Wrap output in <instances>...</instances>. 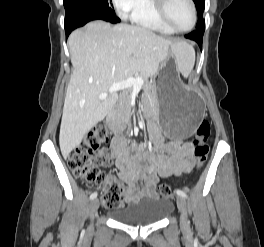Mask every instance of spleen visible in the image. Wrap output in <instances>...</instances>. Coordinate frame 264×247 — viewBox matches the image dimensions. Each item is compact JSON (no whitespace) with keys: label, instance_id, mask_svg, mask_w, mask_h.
Wrapping results in <instances>:
<instances>
[{"label":"spleen","instance_id":"3e777b00","mask_svg":"<svg viewBox=\"0 0 264 247\" xmlns=\"http://www.w3.org/2000/svg\"><path fill=\"white\" fill-rule=\"evenodd\" d=\"M177 68L180 73L187 78L193 70L195 64V50L185 42L177 43L174 48Z\"/></svg>","mask_w":264,"mask_h":247}]
</instances>
